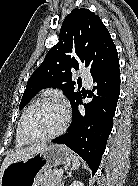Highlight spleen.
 <instances>
[{"label": "spleen", "instance_id": "3e777b00", "mask_svg": "<svg viewBox=\"0 0 138 186\" xmlns=\"http://www.w3.org/2000/svg\"><path fill=\"white\" fill-rule=\"evenodd\" d=\"M79 166H80L79 157L77 155H73L72 156V168L78 169Z\"/></svg>", "mask_w": 138, "mask_h": 186}]
</instances>
